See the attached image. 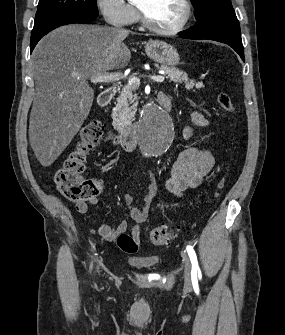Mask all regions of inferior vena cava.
<instances>
[{"mask_svg": "<svg viewBox=\"0 0 285 335\" xmlns=\"http://www.w3.org/2000/svg\"><path fill=\"white\" fill-rule=\"evenodd\" d=\"M118 30L121 34H126V36H128V30H123V28H118Z\"/></svg>", "mask_w": 285, "mask_h": 335, "instance_id": "1", "label": "inferior vena cava"}]
</instances>
